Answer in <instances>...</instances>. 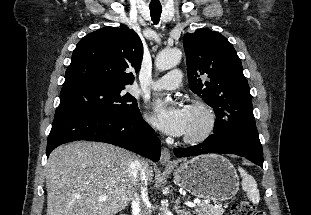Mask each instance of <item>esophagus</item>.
Wrapping results in <instances>:
<instances>
[{"label":"esophagus","mask_w":311,"mask_h":215,"mask_svg":"<svg viewBox=\"0 0 311 215\" xmlns=\"http://www.w3.org/2000/svg\"><path fill=\"white\" fill-rule=\"evenodd\" d=\"M160 162L162 165L165 166H173L174 162L171 160L170 152L168 148L163 147L161 151V157H160Z\"/></svg>","instance_id":"obj_1"}]
</instances>
